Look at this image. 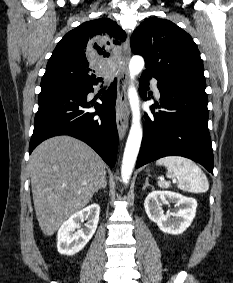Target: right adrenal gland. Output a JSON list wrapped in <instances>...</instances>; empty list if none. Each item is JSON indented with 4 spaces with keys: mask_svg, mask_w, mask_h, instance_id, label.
<instances>
[{
    "mask_svg": "<svg viewBox=\"0 0 233 283\" xmlns=\"http://www.w3.org/2000/svg\"><path fill=\"white\" fill-rule=\"evenodd\" d=\"M106 186H107V181H106V177L104 176V178H103L101 184L98 186L96 192H97L99 189H101V188H102V189H105Z\"/></svg>",
    "mask_w": 233,
    "mask_h": 283,
    "instance_id": "2a0ac1e0",
    "label": "right adrenal gland"
}]
</instances>
